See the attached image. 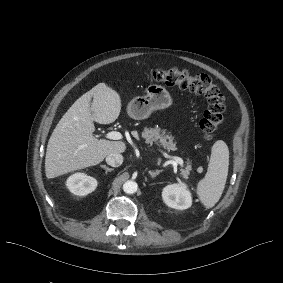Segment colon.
<instances>
[{"label": "colon", "mask_w": 283, "mask_h": 283, "mask_svg": "<svg viewBox=\"0 0 283 283\" xmlns=\"http://www.w3.org/2000/svg\"><path fill=\"white\" fill-rule=\"evenodd\" d=\"M149 79L204 96L208 106L200 120L199 127L206 140L213 138L224 121L225 103L219 86L209 75L191 73L186 69L169 68L152 71Z\"/></svg>", "instance_id": "5ec220e1"}]
</instances>
